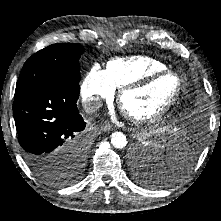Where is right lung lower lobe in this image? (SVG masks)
I'll use <instances>...</instances> for the list:
<instances>
[{
	"label": "right lung lower lobe",
	"instance_id": "obj_1",
	"mask_svg": "<svg viewBox=\"0 0 221 221\" xmlns=\"http://www.w3.org/2000/svg\"><path fill=\"white\" fill-rule=\"evenodd\" d=\"M80 87L48 84L14 99L13 116L25 161L34 172L73 163L87 145L76 102Z\"/></svg>",
	"mask_w": 221,
	"mask_h": 221
}]
</instances>
